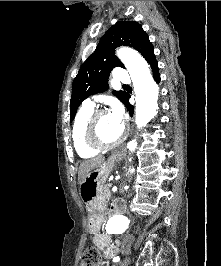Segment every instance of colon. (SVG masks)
I'll return each instance as SVG.
<instances>
[{"label": "colon", "instance_id": "5ec220e1", "mask_svg": "<svg viewBox=\"0 0 221 266\" xmlns=\"http://www.w3.org/2000/svg\"><path fill=\"white\" fill-rule=\"evenodd\" d=\"M100 260L99 251L95 247H89L83 253L81 266H99Z\"/></svg>", "mask_w": 221, "mask_h": 266}]
</instances>
